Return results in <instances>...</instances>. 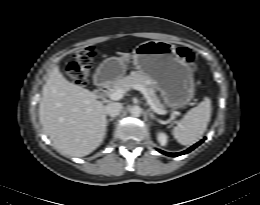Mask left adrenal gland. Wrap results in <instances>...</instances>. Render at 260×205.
Here are the masks:
<instances>
[{
    "mask_svg": "<svg viewBox=\"0 0 260 205\" xmlns=\"http://www.w3.org/2000/svg\"><path fill=\"white\" fill-rule=\"evenodd\" d=\"M147 112L149 113V116L151 119H155V116H154L153 112H151V109H148Z\"/></svg>",
    "mask_w": 260,
    "mask_h": 205,
    "instance_id": "a2214340",
    "label": "left adrenal gland"
}]
</instances>
